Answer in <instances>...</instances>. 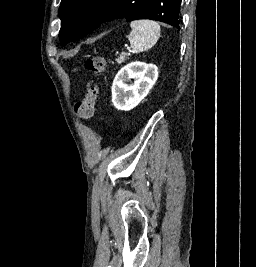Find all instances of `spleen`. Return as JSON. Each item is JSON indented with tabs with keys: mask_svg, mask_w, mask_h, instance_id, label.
Wrapping results in <instances>:
<instances>
[{
	"mask_svg": "<svg viewBox=\"0 0 256 267\" xmlns=\"http://www.w3.org/2000/svg\"><path fill=\"white\" fill-rule=\"evenodd\" d=\"M131 32L128 36L130 48L134 54L147 52L159 40L161 28L153 20H135L130 24Z\"/></svg>",
	"mask_w": 256,
	"mask_h": 267,
	"instance_id": "1",
	"label": "spleen"
}]
</instances>
